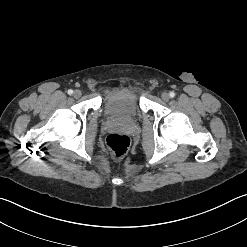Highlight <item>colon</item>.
I'll return each instance as SVG.
<instances>
[{"instance_id":"colon-1","label":"colon","mask_w":247,"mask_h":247,"mask_svg":"<svg viewBox=\"0 0 247 247\" xmlns=\"http://www.w3.org/2000/svg\"><path fill=\"white\" fill-rule=\"evenodd\" d=\"M130 138L127 135L112 133L106 138V145L115 159L122 158L130 147Z\"/></svg>"}]
</instances>
